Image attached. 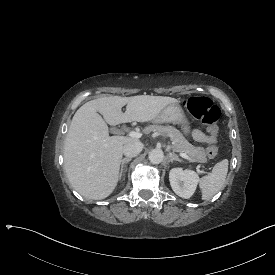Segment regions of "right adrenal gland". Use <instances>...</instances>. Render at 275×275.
Returning a JSON list of instances; mask_svg holds the SVG:
<instances>
[{"instance_id":"2a0ac1e0","label":"right adrenal gland","mask_w":275,"mask_h":275,"mask_svg":"<svg viewBox=\"0 0 275 275\" xmlns=\"http://www.w3.org/2000/svg\"><path fill=\"white\" fill-rule=\"evenodd\" d=\"M130 160H131V158H127V157H125V158L122 159V161H121V166H120V171H119V174H118L119 177H121V174H122V171H123V165H124V163H127V162H129Z\"/></svg>"}]
</instances>
